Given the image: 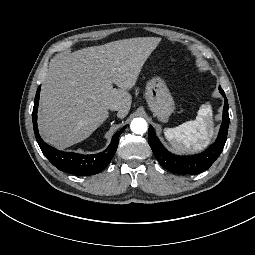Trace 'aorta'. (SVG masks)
Instances as JSON below:
<instances>
[{"label":"aorta","mask_w":255,"mask_h":255,"mask_svg":"<svg viewBox=\"0 0 255 255\" xmlns=\"http://www.w3.org/2000/svg\"><path fill=\"white\" fill-rule=\"evenodd\" d=\"M130 128L135 134H144L147 131V122L143 118H135L132 120Z\"/></svg>","instance_id":"1"}]
</instances>
